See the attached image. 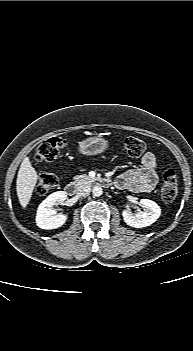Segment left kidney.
<instances>
[{
	"label": "left kidney",
	"mask_w": 193,
	"mask_h": 351,
	"mask_svg": "<svg viewBox=\"0 0 193 351\" xmlns=\"http://www.w3.org/2000/svg\"><path fill=\"white\" fill-rule=\"evenodd\" d=\"M139 204L144 211L139 210L137 213H132L129 210H124L122 213L125 223L134 228H142L153 224L161 214L160 207L152 200L141 199Z\"/></svg>",
	"instance_id": "obj_1"
}]
</instances>
